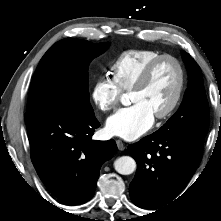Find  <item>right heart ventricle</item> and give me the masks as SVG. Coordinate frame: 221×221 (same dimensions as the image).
I'll list each match as a JSON object with an SVG mask.
<instances>
[{
	"label": "right heart ventricle",
	"mask_w": 221,
	"mask_h": 221,
	"mask_svg": "<svg viewBox=\"0 0 221 221\" xmlns=\"http://www.w3.org/2000/svg\"><path fill=\"white\" fill-rule=\"evenodd\" d=\"M161 55L163 54L149 49L123 52L110 65L112 80L121 91H129L144 68Z\"/></svg>",
	"instance_id": "1"
}]
</instances>
